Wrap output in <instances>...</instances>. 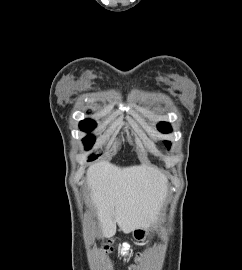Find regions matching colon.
Segmentation results:
<instances>
[{
    "mask_svg": "<svg viewBox=\"0 0 242 270\" xmlns=\"http://www.w3.org/2000/svg\"><path fill=\"white\" fill-rule=\"evenodd\" d=\"M103 251L108 254L112 251V242L108 241L103 246ZM134 268V265L131 267V270Z\"/></svg>",
    "mask_w": 242,
    "mask_h": 270,
    "instance_id": "5ec220e1",
    "label": "colon"
}]
</instances>
